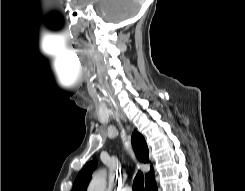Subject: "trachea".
Wrapping results in <instances>:
<instances>
[{"mask_svg":"<svg viewBox=\"0 0 245 191\" xmlns=\"http://www.w3.org/2000/svg\"><path fill=\"white\" fill-rule=\"evenodd\" d=\"M133 191H144V176L141 171L134 178Z\"/></svg>","mask_w":245,"mask_h":191,"instance_id":"trachea-1","label":"trachea"}]
</instances>
